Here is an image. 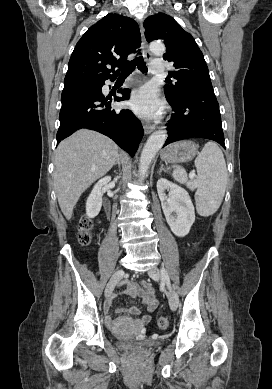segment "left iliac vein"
<instances>
[{
	"instance_id": "obj_1",
	"label": "left iliac vein",
	"mask_w": 272,
	"mask_h": 389,
	"mask_svg": "<svg viewBox=\"0 0 272 389\" xmlns=\"http://www.w3.org/2000/svg\"><path fill=\"white\" fill-rule=\"evenodd\" d=\"M149 276L154 280H159L161 277V271L158 267H152L149 272ZM166 295L169 300V305L172 310H176L179 304V298L175 290L170 286L166 291Z\"/></svg>"
}]
</instances>
